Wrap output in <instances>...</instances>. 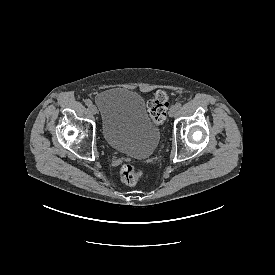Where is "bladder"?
<instances>
[{
	"label": "bladder",
	"instance_id": "31cf9c89",
	"mask_svg": "<svg viewBox=\"0 0 275 275\" xmlns=\"http://www.w3.org/2000/svg\"><path fill=\"white\" fill-rule=\"evenodd\" d=\"M95 103L101 111L103 138L112 149L138 159L153 154L159 129L147 115L138 93L111 89L100 93Z\"/></svg>",
	"mask_w": 275,
	"mask_h": 275
}]
</instances>
